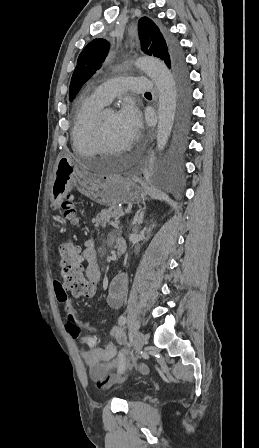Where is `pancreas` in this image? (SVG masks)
Returning a JSON list of instances; mask_svg holds the SVG:
<instances>
[{
	"label": "pancreas",
	"instance_id": "pancreas-1",
	"mask_svg": "<svg viewBox=\"0 0 259 448\" xmlns=\"http://www.w3.org/2000/svg\"><path fill=\"white\" fill-rule=\"evenodd\" d=\"M120 216H124V212L122 208H108V210H102L98 216H95L92 220V224H95V228H99V226H102V228H105L106 224L110 222L111 218H115V220H118Z\"/></svg>",
	"mask_w": 259,
	"mask_h": 448
}]
</instances>
